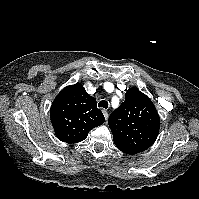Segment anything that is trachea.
I'll return each instance as SVG.
<instances>
[{"mask_svg":"<svg viewBox=\"0 0 199 199\" xmlns=\"http://www.w3.org/2000/svg\"><path fill=\"white\" fill-rule=\"evenodd\" d=\"M98 107L107 109L108 108V102L106 100H102V101L99 102Z\"/></svg>","mask_w":199,"mask_h":199,"instance_id":"obj_1","label":"trachea"}]
</instances>
